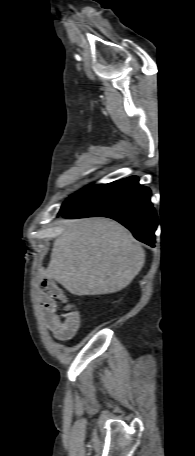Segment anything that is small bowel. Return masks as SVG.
Instances as JSON below:
<instances>
[{"instance_id": "obj_1", "label": "small bowel", "mask_w": 195, "mask_h": 456, "mask_svg": "<svg viewBox=\"0 0 195 456\" xmlns=\"http://www.w3.org/2000/svg\"><path fill=\"white\" fill-rule=\"evenodd\" d=\"M62 294L56 283L45 279L40 284L38 302L44 325L50 329L59 340L71 338L79 326V315L69 313L65 321H61L56 313V299H61Z\"/></svg>"}]
</instances>
